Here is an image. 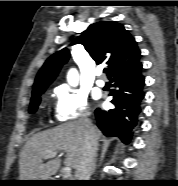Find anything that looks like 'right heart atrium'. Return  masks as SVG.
Returning <instances> with one entry per match:
<instances>
[{
    "mask_svg": "<svg viewBox=\"0 0 178 186\" xmlns=\"http://www.w3.org/2000/svg\"><path fill=\"white\" fill-rule=\"evenodd\" d=\"M55 115L61 122L83 119L89 116L88 96L85 92L72 87L55 89Z\"/></svg>",
    "mask_w": 178,
    "mask_h": 186,
    "instance_id": "right-heart-atrium-1",
    "label": "right heart atrium"
}]
</instances>
